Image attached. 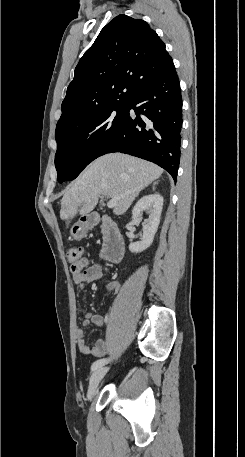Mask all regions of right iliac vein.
Instances as JSON below:
<instances>
[{
  "mask_svg": "<svg viewBox=\"0 0 245 457\" xmlns=\"http://www.w3.org/2000/svg\"><path fill=\"white\" fill-rule=\"evenodd\" d=\"M107 370H108L107 367H100V368L94 370V372L92 373V375L90 377V381H89V387H88V391H87V399H90L93 396V394L96 391L99 383L101 382V380L105 376Z\"/></svg>",
  "mask_w": 245,
  "mask_h": 457,
  "instance_id": "1",
  "label": "right iliac vein"
}]
</instances>
